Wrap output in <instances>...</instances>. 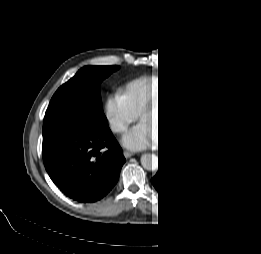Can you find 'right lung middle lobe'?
Returning <instances> with one entry per match:
<instances>
[{"mask_svg":"<svg viewBox=\"0 0 261 254\" xmlns=\"http://www.w3.org/2000/svg\"><path fill=\"white\" fill-rule=\"evenodd\" d=\"M118 66H85L53 95L47 111L73 110L95 125L108 126L99 86Z\"/></svg>","mask_w":261,"mask_h":254,"instance_id":"obj_1","label":"right lung middle lobe"}]
</instances>
